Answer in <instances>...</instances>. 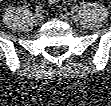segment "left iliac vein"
Wrapping results in <instances>:
<instances>
[{
  "label": "left iliac vein",
  "mask_w": 111,
  "mask_h": 106,
  "mask_svg": "<svg viewBox=\"0 0 111 106\" xmlns=\"http://www.w3.org/2000/svg\"><path fill=\"white\" fill-rule=\"evenodd\" d=\"M70 18H71L72 20H76V15H75V14H70Z\"/></svg>",
  "instance_id": "1"
}]
</instances>
